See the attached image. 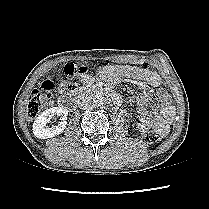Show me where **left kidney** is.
<instances>
[{"label":"left kidney","mask_w":209,"mask_h":209,"mask_svg":"<svg viewBox=\"0 0 209 209\" xmlns=\"http://www.w3.org/2000/svg\"><path fill=\"white\" fill-rule=\"evenodd\" d=\"M140 121L142 123H137V126H138L137 128L139 129V131L141 132V134L144 135L145 133H147V128H146V124H145L147 122H146V120L144 118H141Z\"/></svg>","instance_id":"obj_1"}]
</instances>
